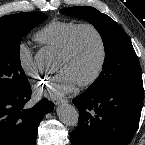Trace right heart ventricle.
<instances>
[{"instance_id":"obj_1","label":"right heart ventricle","mask_w":145,"mask_h":145,"mask_svg":"<svg viewBox=\"0 0 145 145\" xmlns=\"http://www.w3.org/2000/svg\"><path fill=\"white\" fill-rule=\"evenodd\" d=\"M78 25L79 23L73 20H53L42 27L34 35V39L41 45L60 52Z\"/></svg>"}]
</instances>
